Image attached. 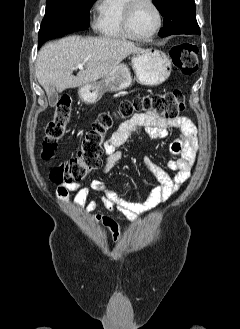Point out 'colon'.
<instances>
[{
    "instance_id": "obj_1",
    "label": "colon",
    "mask_w": 240,
    "mask_h": 329,
    "mask_svg": "<svg viewBox=\"0 0 240 329\" xmlns=\"http://www.w3.org/2000/svg\"><path fill=\"white\" fill-rule=\"evenodd\" d=\"M174 67L185 75H192L198 68V47L184 42L175 44L170 50ZM185 97L179 90L136 97L124 101L117 114L102 113L81 140L75 156L55 164L50 170V179L56 184H70L83 180L98 167L103 153L105 133L113 126L115 117L130 118L142 112L157 113L166 119L178 118L184 110ZM72 119L71 100L67 96L59 99L53 118L45 130L42 157L50 160L55 156L59 141L64 137Z\"/></svg>"
}]
</instances>
